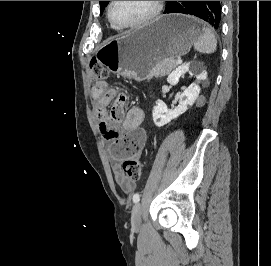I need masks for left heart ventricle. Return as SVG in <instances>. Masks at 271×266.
<instances>
[{
    "mask_svg": "<svg viewBox=\"0 0 271 266\" xmlns=\"http://www.w3.org/2000/svg\"><path fill=\"white\" fill-rule=\"evenodd\" d=\"M153 1H115L112 17L118 24H132L149 14Z\"/></svg>",
    "mask_w": 271,
    "mask_h": 266,
    "instance_id": "obj_1",
    "label": "left heart ventricle"
}]
</instances>
